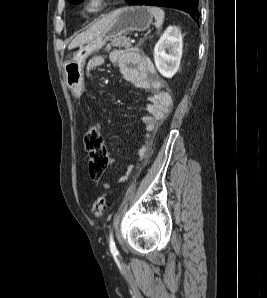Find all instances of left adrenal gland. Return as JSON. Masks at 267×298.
<instances>
[{
  "instance_id": "1",
  "label": "left adrenal gland",
  "mask_w": 267,
  "mask_h": 298,
  "mask_svg": "<svg viewBox=\"0 0 267 298\" xmlns=\"http://www.w3.org/2000/svg\"><path fill=\"white\" fill-rule=\"evenodd\" d=\"M143 41H144V39H141V41H140V44H142V43H143Z\"/></svg>"
}]
</instances>
